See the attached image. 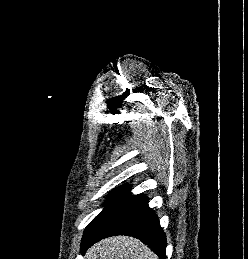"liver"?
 <instances>
[{
	"label": "liver",
	"mask_w": 248,
	"mask_h": 259,
	"mask_svg": "<svg viewBox=\"0 0 248 259\" xmlns=\"http://www.w3.org/2000/svg\"><path fill=\"white\" fill-rule=\"evenodd\" d=\"M84 259H158L140 240L114 236L91 246Z\"/></svg>",
	"instance_id": "1"
}]
</instances>
